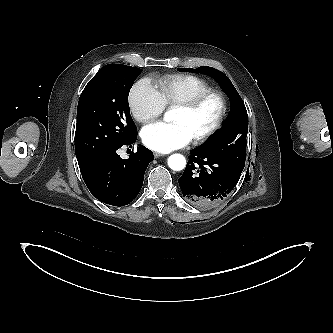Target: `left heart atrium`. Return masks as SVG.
I'll use <instances>...</instances> for the list:
<instances>
[{
  "mask_svg": "<svg viewBox=\"0 0 333 333\" xmlns=\"http://www.w3.org/2000/svg\"><path fill=\"white\" fill-rule=\"evenodd\" d=\"M141 139L149 149L168 153L188 145L192 136L181 123L156 122L142 129Z\"/></svg>",
  "mask_w": 333,
  "mask_h": 333,
  "instance_id": "obj_1",
  "label": "left heart atrium"
}]
</instances>
